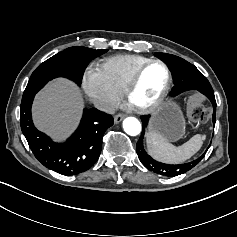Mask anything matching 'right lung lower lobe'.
<instances>
[{"label":"right lung lower lobe","mask_w":237,"mask_h":237,"mask_svg":"<svg viewBox=\"0 0 237 237\" xmlns=\"http://www.w3.org/2000/svg\"><path fill=\"white\" fill-rule=\"evenodd\" d=\"M34 96L22 98L20 120L22 132L35 157L47 168L67 176L90 169L100 156L105 131L113 125L112 116L95 108L84 109L75 133L65 143H55L32 122Z\"/></svg>","instance_id":"obj_1"}]
</instances>
